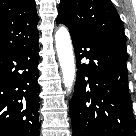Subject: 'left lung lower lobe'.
<instances>
[{
  "label": "left lung lower lobe",
  "mask_w": 136,
  "mask_h": 136,
  "mask_svg": "<svg viewBox=\"0 0 136 136\" xmlns=\"http://www.w3.org/2000/svg\"><path fill=\"white\" fill-rule=\"evenodd\" d=\"M71 37L78 69L70 104L73 136H135L126 51L106 40ZM83 58L89 62L82 64Z\"/></svg>",
  "instance_id": "1"
}]
</instances>
